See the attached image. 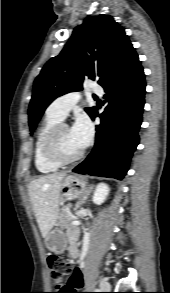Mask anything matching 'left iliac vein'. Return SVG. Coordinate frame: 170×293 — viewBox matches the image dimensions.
Here are the masks:
<instances>
[{
	"label": "left iliac vein",
	"mask_w": 170,
	"mask_h": 293,
	"mask_svg": "<svg viewBox=\"0 0 170 293\" xmlns=\"http://www.w3.org/2000/svg\"><path fill=\"white\" fill-rule=\"evenodd\" d=\"M100 285H101L102 287H105L107 290H110V288H111V285H110V283H109L108 281H102V282L100 283Z\"/></svg>",
	"instance_id": "4c4485c4"
}]
</instances>
